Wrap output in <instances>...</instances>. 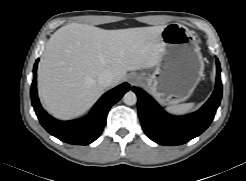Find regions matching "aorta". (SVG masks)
Listing matches in <instances>:
<instances>
[{"label": "aorta", "mask_w": 246, "mask_h": 181, "mask_svg": "<svg viewBox=\"0 0 246 181\" xmlns=\"http://www.w3.org/2000/svg\"><path fill=\"white\" fill-rule=\"evenodd\" d=\"M123 101L128 106L135 105L136 102H137V96H136V94L133 91H128L123 96Z\"/></svg>", "instance_id": "aorta-1"}]
</instances>
